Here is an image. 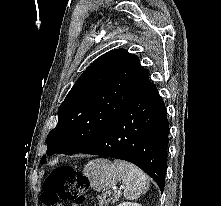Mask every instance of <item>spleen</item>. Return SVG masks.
<instances>
[{
	"label": "spleen",
	"instance_id": "1",
	"mask_svg": "<svg viewBox=\"0 0 221 206\" xmlns=\"http://www.w3.org/2000/svg\"><path fill=\"white\" fill-rule=\"evenodd\" d=\"M114 164L120 172L124 184L123 194L126 199L134 200L146 193L150 182L147 175L141 169L121 160H115Z\"/></svg>",
	"mask_w": 221,
	"mask_h": 206
}]
</instances>
